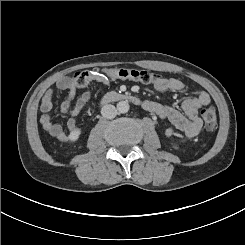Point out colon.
<instances>
[{"label": "colon", "instance_id": "obj_1", "mask_svg": "<svg viewBox=\"0 0 245 245\" xmlns=\"http://www.w3.org/2000/svg\"><path fill=\"white\" fill-rule=\"evenodd\" d=\"M108 77L129 79L143 84H154L159 79L155 73L144 69L118 67L103 71L78 72L74 76V81L79 87H85L91 80H100ZM202 119L207 130H215L217 127V115L214 108L203 109Z\"/></svg>", "mask_w": 245, "mask_h": 245}]
</instances>
